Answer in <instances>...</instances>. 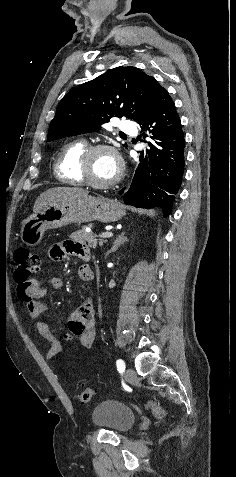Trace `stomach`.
Returning <instances> with one entry per match:
<instances>
[{
	"mask_svg": "<svg viewBox=\"0 0 236 477\" xmlns=\"http://www.w3.org/2000/svg\"><path fill=\"white\" fill-rule=\"evenodd\" d=\"M125 215L122 205L103 197L85 196L48 205L23 220L21 240L29 245H38L47 229H56L72 223L99 221L111 223Z\"/></svg>",
	"mask_w": 236,
	"mask_h": 477,
	"instance_id": "obj_1",
	"label": "stomach"
}]
</instances>
